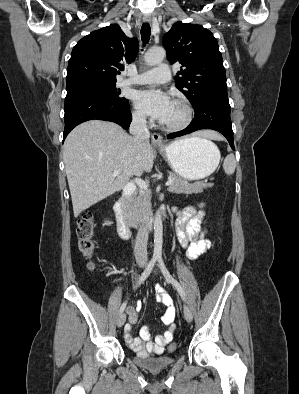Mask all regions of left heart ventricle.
<instances>
[{
    "label": "left heart ventricle",
    "mask_w": 299,
    "mask_h": 394,
    "mask_svg": "<svg viewBox=\"0 0 299 394\" xmlns=\"http://www.w3.org/2000/svg\"><path fill=\"white\" fill-rule=\"evenodd\" d=\"M183 118H184V111L182 107L179 104L173 102L171 110L167 115V117L163 120V122L167 124H175L182 121Z\"/></svg>",
    "instance_id": "obj_1"
}]
</instances>
